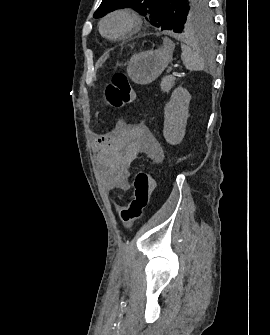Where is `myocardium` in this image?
Wrapping results in <instances>:
<instances>
[{"mask_svg":"<svg viewBox=\"0 0 270 335\" xmlns=\"http://www.w3.org/2000/svg\"><path fill=\"white\" fill-rule=\"evenodd\" d=\"M116 17H120L125 19L126 21H128L129 23V29L119 35V36H109L108 34H106L105 32V26L108 23V21H110L113 18ZM143 25V20L134 12L130 11V10H126V9H119V10H115L111 13H109L101 22L100 25V30L101 33L104 37L111 39V40H121V39H125L131 35H133L134 33H136ZM132 78H145V77H132Z\"/></svg>","mask_w":270,"mask_h":335,"instance_id":"obj_1","label":"myocardium"}]
</instances>
